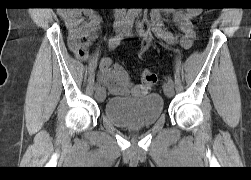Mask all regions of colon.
Segmentation results:
<instances>
[{
    "instance_id": "obj_1",
    "label": "colon",
    "mask_w": 251,
    "mask_h": 180,
    "mask_svg": "<svg viewBox=\"0 0 251 180\" xmlns=\"http://www.w3.org/2000/svg\"><path fill=\"white\" fill-rule=\"evenodd\" d=\"M140 80L141 86L149 91L155 86L157 82V76L152 70L146 69L142 72Z\"/></svg>"
}]
</instances>
